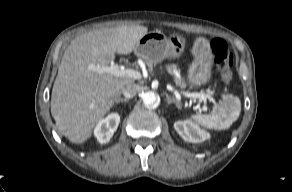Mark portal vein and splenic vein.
<instances>
[{
  "instance_id": "portal-vein-and-splenic-vein-1",
  "label": "portal vein and splenic vein",
  "mask_w": 292,
  "mask_h": 192,
  "mask_svg": "<svg viewBox=\"0 0 292 192\" xmlns=\"http://www.w3.org/2000/svg\"><path fill=\"white\" fill-rule=\"evenodd\" d=\"M99 72H107L117 77H129L133 79H140L141 74L140 72L133 70V69H125L122 66H119L118 64L111 63L109 66H103L100 68H97ZM183 95L188 98H199L200 100L204 101L206 103V100L208 96L203 93H187L183 92Z\"/></svg>"
}]
</instances>
